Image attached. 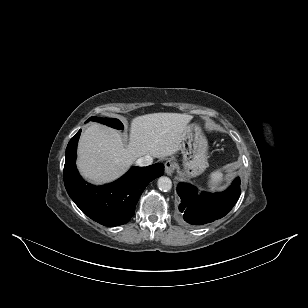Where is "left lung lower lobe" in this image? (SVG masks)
Segmentation results:
<instances>
[{
	"mask_svg": "<svg viewBox=\"0 0 308 308\" xmlns=\"http://www.w3.org/2000/svg\"><path fill=\"white\" fill-rule=\"evenodd\" d=\"M177 193L181 198L179 211L191 225H203L224 217L236 204L240 191V179L236 178L224 192L197 194L192 185L179 183Z\"/></svg>",
	"mask_w": 308,
	"mask_h": 308,
	"instance_id": "0a47b994",
	"label": "left lung lower lobe"
}]
</instances>
